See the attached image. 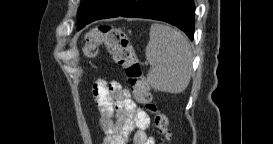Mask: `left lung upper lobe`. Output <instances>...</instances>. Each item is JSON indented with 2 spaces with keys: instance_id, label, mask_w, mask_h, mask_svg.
<instances>
[{
  "instance_id": "5c2ea615",
  "label": "left lung upper lobe",
  "mask_w": 273,
  "mask_h": 144,
  "mask_svg": "<svg viewBox=\"0 0 273 144\" xmlns=\"http://www.w3.org/2000/svg\"><path fill=\"white\" fill-rule=\"evenodd\" d=\"M95 0H82L79 10L86 7L87 5H93Z\"/></svg>"
}]
</instances>
